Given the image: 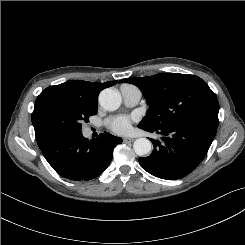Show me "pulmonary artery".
Returning a JSON list of instances; mask_svg holds the SVG:
<instances>
[{"label":"pulmonary artery","instance_id":"obj_1","mask_svg":"<svg viewBox=\"0 0 245 245\" xmlns=\"http://www.w3.org/2000/svg\"><path fill=\"white\" fill-rule=\"evenodd\" d=\"M120 91L123 98V102L128 107H132L138 104L142 97L140 89L133 85H122Z\"/></svg>","mask_w":245,"mask_h":245}]
</instances>
